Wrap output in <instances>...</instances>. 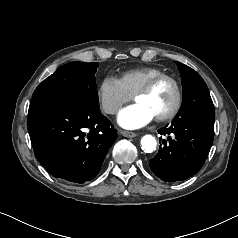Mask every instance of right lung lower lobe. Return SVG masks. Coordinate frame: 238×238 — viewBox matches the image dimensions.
I'll use <instances>...</instances> for the list:
<instances>
[{
  "mask_svg": "<svg viewBox=\"0 0 238 238\" xmlns=\"http://www.w3.org/2000/svg\"><path fill=\"white\" fill-rule=\"evenodd\" d=\"M99 107L70 99H33L27 128L37 160L54 177L84 183L99 172L117 138Z\"/></svg>",
  "mask_w": 238,
  "mask_h": 238,
  "instance_id": "obj_1",
  "label": "right lung lower lobe"
}]
</instances>
